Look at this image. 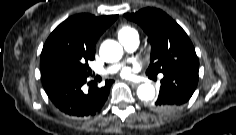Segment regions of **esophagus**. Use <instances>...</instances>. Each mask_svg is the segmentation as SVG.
Instances as JSON below:
<instances>
[{
  "instance_id": "34e87169",
  "label": "esophagus",
  "mask_w": 236,
  "mask_h": 135,
  "mask_svg": "<svg viewBox=\"0 0 236 135\" xmlns=\"http://www.w3.org/2000/svg\"><path fill=\"white\" fill-rule=\"evenodd\" d=\"M127 83L129 85H131L132 87H137L139 85V83L133 82V81H127Z\"/></svg>"
}]
</instances>
